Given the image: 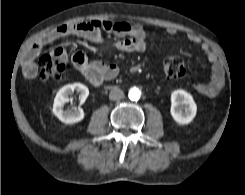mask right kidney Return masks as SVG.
Returning <instances> with one entry per match:
<instances>
[{
    "label": "right kidney",
    "instance_id": "1",
    "mask_svg": "<svg viewBox=\"0 0 245 195\" xmlns=\"http://www.w3.org/2000/svg\"><path fill=\"white\" fill-rule=\"evenodd\" d=\"M74 91L79 93L80 104H83L89 95V89L81 83L63 86L57 92L53 103V113L60 121L66 124H74L82 121L84 118V111L80 107L75 110L63 109L64 105L69 102V96L74 93Z\"/></svg>",
    "mask_w": 245,
    "mask_h": 195
}]
</instances>
